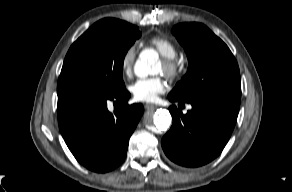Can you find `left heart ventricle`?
<instances>
[{"label": "left heart ventricle", "instance_id": "left-heart-ventricle-1", "mask_svg": "<svg viewBox=\"0 0 292 192\" xmlns=\"http://www.w3.org/2000/svg\"><path fill=\"white\" fill-rule=\"evenodd\" d=\"M157 71H158V72L163 71V64H161V65L158 67Z\"/></svg>", "mask_w": 292, "mask_h": 192}]
</instances>
